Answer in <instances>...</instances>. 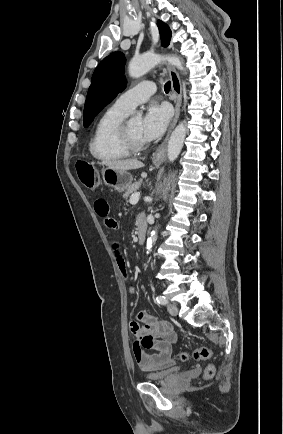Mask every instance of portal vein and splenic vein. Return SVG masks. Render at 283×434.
I'll return each mask as SVG.
<instances>
[{
  "instance_id": "18ae733b",
  "label": "portal vein and splenic vein",
  "mask_w": 283,
  "mask_h": 434,
  "mask_svg": "<svg viewBox=\"0 0 283 434\" xmlns=\"http://www.w3.org/2000/svg\"><path fill=\"white\" fill-rule=\"evenodd\" d=\"M139 198H140V193L139 192L132 194L131 197H130V200H129L130 204H132V205L137 204L138 201H139Z\"/></svg>"
}]
</instances>
